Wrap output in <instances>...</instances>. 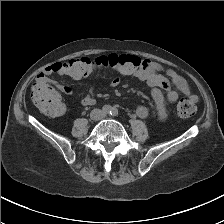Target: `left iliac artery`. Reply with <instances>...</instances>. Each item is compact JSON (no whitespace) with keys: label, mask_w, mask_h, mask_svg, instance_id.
<instances>
[{"label":"left iliac artery","mask_w":224,"mask_h":224,"mask_svg":"<svg viewBox=\"0 0 224 224\" xmlns=\"http://www.w3.org/2000/svg\"><path fill=\"white\" fill-rule=\"evenodd\" d=\"M112 116H117L118 115V110L116 108H112L111 113Z\"/></svg>","instance_id":"obj_1"}]
</instances>
